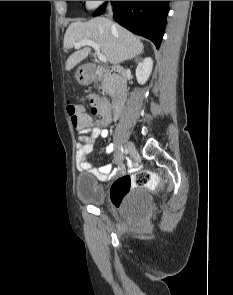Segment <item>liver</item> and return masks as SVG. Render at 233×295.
Returning a JSON list of instances; mask_svg holds the SVG:
<instances>
[{"label":"liver","instance_id":"obj_1","mask_svg":"<svg viewBox=\"0 0 233 295\" xmlns=\"http://www.w3.org/2000/svg\"><path fill=\"white\" fill-rule=\"evenodd\" d=\"M85 39L96 42L101 52L113 65L136 57L143 52L144 48L136 35L105 17L71 23L64 35V48L71 49L76 43ZM89 53V47L74 52L67 59L65 69L70 71Z\"/></svg>","mask_w":233,"mask_h":295}]
</instances>
